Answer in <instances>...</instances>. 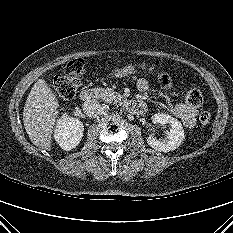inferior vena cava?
Masks as SVG:
<instances>
[{"label": "inferior vena cava", "mask_w": 233, "mask_h": 233, "mask_svg": "<svg viewBox=\"0 0 233 233\" xmlns=\"http://www.w3.org/2000/svg\"><path fill=\"white\" fill-rule=\"evenodd\" d=\"M102 104H99L97 100L85 101L83 104V110L91 118H96L101 114Z\"/></svg>", "instance_id": "602c4592"}]
</instances>
